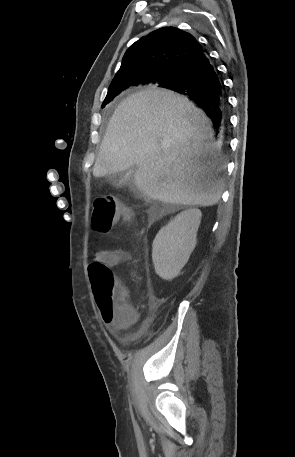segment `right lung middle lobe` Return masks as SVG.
Masks as SVG:
<instances>
[{
	"instance_id": "obj_1",
	"label": "right lung middle lobe",
	"mask_w": 295,
	"mask_h": 457,
	"mask_svg": "<svg viewBox=\"0 0 295 457\" xmlns=\"http://www.w3.org/2000/svg\"><path fill=\"white\" fill-rule=\"evenodd\" d=\"M174 80L171 79L170 81ZM144 85V84H143ZM130 86H137V85H133V84H119V85H115L113 87H109L108 89V93H107V96L102 104V107H104L106 104H108L109 102H111L113 100L114 97H116L118 94H120L124 89L130 87ZM160 87V86H159Z\"/></svg>"
}]
</instances>
